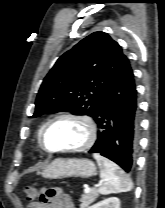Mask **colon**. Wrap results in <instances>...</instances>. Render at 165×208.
Instances as JSON below:
<instances>
[{
  "label": "colon",
  "mask_w": 165,
  "mask_h": 208,
  "mask_svg": "<svg viewBox=\"0 0 165 208\" xmlns=\"http://www.w3.org/2000/svg\"><path fill=\"white\" fill-rule=\"evenodd\" d=\"M25 193L27 200L30 202H35V199L40 196L38 189L35 187H27Z\"/></svg>",
  "instance_id": "colon-1"
}]
</instances>
